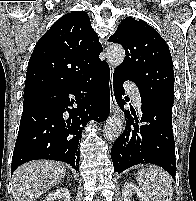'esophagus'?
Masks as SVG:
<instances>
[{
	"label": "esophagus",
	"mask_w": 196,
	"mask_h": 201,
	"mask_svg": "<svg viewBox=\"0 0 196 201\" xmlns=\"http://www.w3.org/2000/svg\"><path fill=\"white\" fill-rule=\"evenodd\" d=\"M110 97H111V100H110V108H111V114H116L118 113L120 110H119V107L116 103V100H115V96H114V88H113V70H111V77H110Z\"/></svg>",
	"instance_id": "esophagus-1"
}]
</instances>
